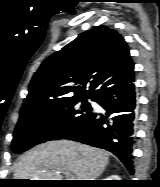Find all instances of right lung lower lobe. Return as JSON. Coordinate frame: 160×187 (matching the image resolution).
<instances>
[{
  "mask_svg": "<svg viewBox=\"0 0 160 187\" xmlns=\"http://www.w3.org/2000/svg\"><path fill=\"white\" fill-rule=\"evenodd\" d=\"M134 63L93 97L106 111L92 112L66 139L112 152L133 173L132 145L135 123Z\"/></svg>",
  "mask_w": 160,
  "mask_h": 187,
  "instance_id": "98d812e1",
  "label": "right lung lower lobe"
}]
</instances>
